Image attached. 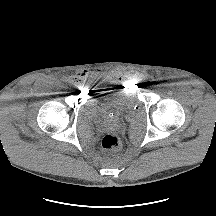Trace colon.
Returning <instances> with one entry per match:
<instances>
[{"label":"colon","instance_id":"1","mask_svg":"<svg viewBox=\"0 0 216 216\" xmlns=\"http://www.w3.org/2000/svg\"><path fill=\"white\" fill-rule=\"evenodd\" d=\"M121 142L116 134H106L102 139V147L105 150H115L120 146Z\"/></svg>","mask_w":216,"mask_h":216}]
</instances>
